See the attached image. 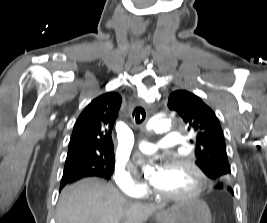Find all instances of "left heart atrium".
I'll list each match as a JSON object with an SVG mask.
<instances>
[{
  "instance_id": "left-heart-atrium-1",
  "label": "left heart atrium",
  "mask_w": 267,
  "mask_h": 223,
  "mask_svg": "<svg viewBox=\"0 0 267 223\" xmlns=\"http://www.w3.org/2000/svg\"><path fill=\"white\" fill-rule=\"evenodd\" d=\"M164 174H165V167L162 165H158L155 168V171L150 179L151 184L155 186L157 183H159L161 179L164 177Z\"/></svg>"
}]
</instances>
